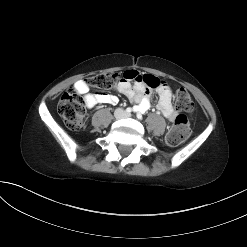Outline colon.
<instances>
[{
  "instance_id": "1",
  "label": "colon",
  "mask_w": 247,
  "mask_h": 247,
  "mask_svg": "<svg viewBox=\"0 0 247 247\" xmlns=\"http://www.w3.org/2000/svg\"><path fill=\"white\" fill-rule=\"evenodd\" d=\"M120 78L118 73H102L91 76L88 79V84L98 89H110L119 82ZM149 83L152 87L157 85V81L154 79H149ZM175 104L177 109L182 112H190L194 107L192 98L185 89L177 90ZM85 105L84 100L72 91L61 96L58 113L69 129L78 130L83 126ZM190 133L191 128L187 117L184 114H179L166 135V142L171 146L179 145L189 137Z\"/></svg>"
}]
</instances>
